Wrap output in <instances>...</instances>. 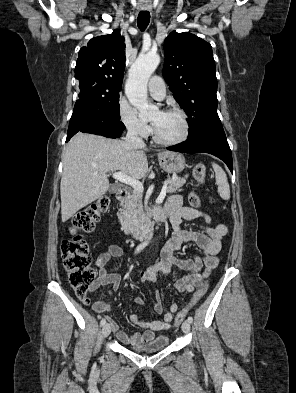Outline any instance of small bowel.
Returning a JSON list of instances; mask_svg holds the SVG:
<instances>
[{"instance_id": "1", "label": "small bowel", "mask_w": 296, "mask_h": 393, "mask_svg": "<svg viewBox=\"0 0 296 393\" xmlns=\"http://www.w3.org/2000/svg\"><path fill=\"white\" fill-rule=\"evenodd\" d=\"M168 219L170 220L174 232L172 237L165 243L161 250V260L154 264L151 268L140 272V278L145 283L155 284L157 282V274L159 272L169 274L174 267H178L186 271V274L175 281L174 286L179 292H193L199 287L202 281L209 276L212 270L218 265L217 254L221 250L223 237L227 234V227L223 223H214L211 217L204 211L199 209L183 206L181 196H173L167 202L164 208ZM202 218L207 223L204 233L196 232L180 227L183 220H195ZM186 242L196 244L202 251L203 257L194 256L189 259H180L175 256L182 245ZM124 250L119 245L108 246L96 259L99 279L97 285H111L113 291H118L121 287V277L117 273L107 271V265L112 258L121 257ZM111 295V292L108 293ZM82 303L91 306L96 313L110 312L112 306L108 301L98 300L92 302L89 296L80 297ZM134 303L144 305L141 297H135ZM179 307L176 303L169 306L167 312H164L163 298L159 292L155 293L153 310L162 314L159 320H143L137 315H131V322L145 329L143 333H133L127 335L121 331L118 324L107 317V322L111 330L116 334L117 338L124 344L138 346L151 341L156 333L163 329H169Z\"/></svg>"}]
</instances>
